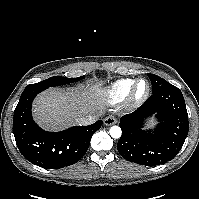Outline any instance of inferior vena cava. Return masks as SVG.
I'll list each match as a JSON object with an SVG mask.
<instances>
[{"instance_id": "inferior-vena-cava-1", "label": "inferior vena cava", "mask_w": 199, "mask_h": 199, "mask_svg": "<svg viewBox=\"0 0 199 199\" xmlns=\"http://www.w3.org/2000/svg\"><path fill=\"white\" fill-rule=\"evenodd\" d=\"M99 117V114H89L78 119V124L84 126L90 125L96 122L99 119Z\"/></svg>"}]
</instances>
